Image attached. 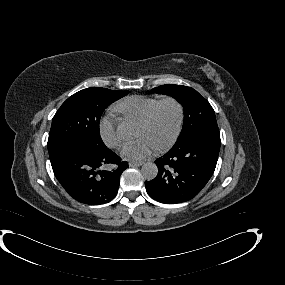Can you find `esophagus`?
Listing matches in <instances>:
<instances>
[{"instance_id":"1","label":"esophagus","mask_w":285,"mask_h":285,"mask_svg":"<svg viewBox=\"0 0 285 285\" xmlns=\"http://www.w3.org/2000/svg\"><path fill=\"white\" fill-rule=\"evenodd\" d=\"M142 164H143L142 161H130L129 162L130 167H137V166H141Z\"/></svg>"}]
</instances>
